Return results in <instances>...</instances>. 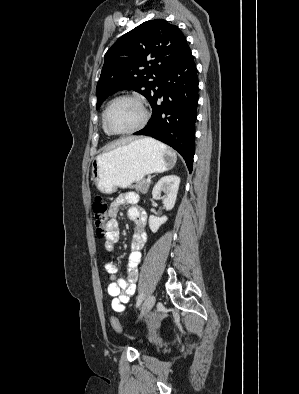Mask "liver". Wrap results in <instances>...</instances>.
Here are the masks:
<instances>
[{"instance_id": "1", "label": "liver", "mask_w": 299, "mask_h": 394, "mask_svg": "<svg viewBox=\"0 0 299 394\" xmlns=\"http://www.w3.org/2000/svg\"><path fill=\"white\" fill-rule=\"evenodd\" d=\"M132 140H133V138H126L124 140H121V141L115 143V146H120V145L130 143V142H132Z\"/></svg>"}]
</instances>
